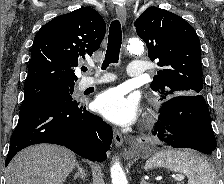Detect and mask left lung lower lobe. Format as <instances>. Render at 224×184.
Returning a JSON list of instances; mask_svg holds the SVG:
<instances>
[{
    "mask_svg": "<svg viewBox=\"0 0 224 184\" xmlns=\"http://www.w3.org/2000/svg\"><path fill=\"white\" fill-rule=\"evenodd\" d=\"M153 134L159 138L158 147L192 148L204 154L216 148L209 110L201 94L167 99Z\"/></svg>",
    "mask_w": 224,
    "mask_h": 184,
    "instance_id": "obj_1",
    "label": "left lung lower lobe"
}]
</instances>
